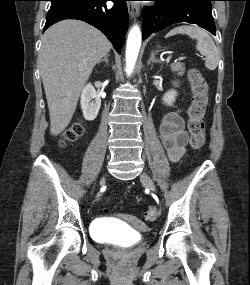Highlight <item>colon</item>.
Wrapping results in <instances>:
<instances>
[{"mask_svg": "<svg viewBox=\"0 0 250 285\" xmlns=\"http://www.w3.org/2000/svg\"><path fill=\"white\" fill-rule=\"evenodd\" d=\"M188 79L192 89V101L188 110L189 122L188 129L190 132V147L198 152L205 144V125L204 115L208 104L209 86L204 76L196 69H191L188 73ZM84 134V126L81 123H75L70 126L63 135V143H71ZM108 210L105 209V212ZM158 211L155 208L146 210L144 217L147 221H155Z\"/></svg>", "mask_w": 250, "mask_h": 285, "instance_id": "1", "label": "colon"}]
</instances>
